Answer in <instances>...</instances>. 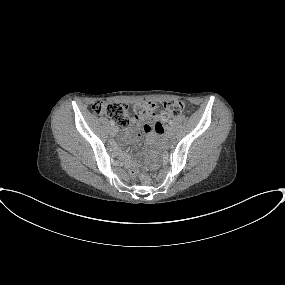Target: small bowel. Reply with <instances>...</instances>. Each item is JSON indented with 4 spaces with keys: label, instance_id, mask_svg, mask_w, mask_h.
Masks as SVG:
<instances>
[{
    "label": "small bowel",
    "instance_id": "c3829d8e",
    "mask_svg": "<svg viewBox=\"0 0 285 285\" xmlns=\"http://www.w3.org/2000/svg\"><path fill=\"white\" fill-rule=\"evenodd\" d=\"M141 127V122L139 119L133 117L130 122V127L128 129V132L133 134L136 139L140 138V134L138 133L139 128ZM161 128V124L158 122H154L153 125L149 123L143 124V130L146 133L147 136L153 137L155 132H158Z\"/></svg>",
    "mask_w": 285,
    "mask_h": 285
}]
</instances>
